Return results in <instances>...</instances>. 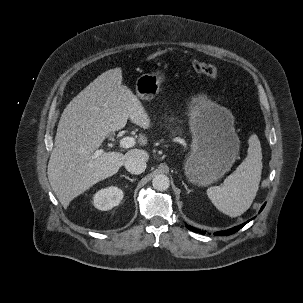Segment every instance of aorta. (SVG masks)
Returning <instances> with one entry per match:
<instances>
[{"mask_svg":"<svg viewBox=\"0 0 303 303\" xmlns=\"http://www.w3.org/2000/svg\"><path fill=\"white\" fill-rule=\"evenodd\" d=\"M153 188L157 191H165L169 188V178L164 174L156 175L152 180Z\"/></svg>","mask_w":303,"mask_h":303,"instance_id":"1","label":"aorta"}]
</instances>
